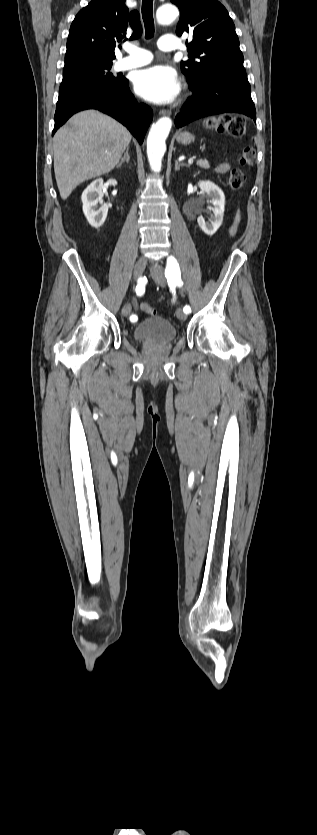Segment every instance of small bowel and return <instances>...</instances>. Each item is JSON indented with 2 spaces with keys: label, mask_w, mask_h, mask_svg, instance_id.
<instances>
[{
  "label": "small bowel",
  "mask_w": 317,
  "mask_h": 835,
  "mask_svg": "<svg viewBox=\"0 0 317 835\" xmlns=\"http://www.w3.org/2000/svg\"><path fill=\"white\" fill-rule=\"evenodd\" d=\"M229 168H230V165H229V164H227V163H222V164L218 165V166L216 167V169H215V170H216V172H218V173H226V172L229 170ZM236 223H237V220H236V222L233 224V226L230 228V233H231V234H233V233L235 232V229H236ZM128 305H129V304H128Z\"/></svg>",
  "instance_id": "c3829d8e"
}]
</instances>
